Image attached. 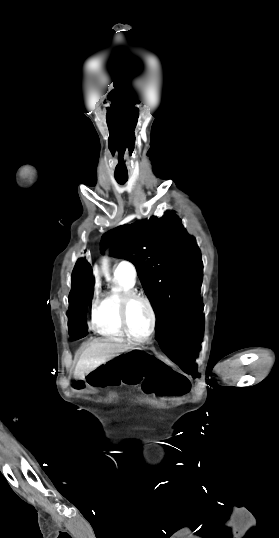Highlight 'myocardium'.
Returning <instances> with one entry per match:
<instances>
[{"label":"myocardium","instance_id":"obj_1","mask_svg":"<svg viewBox=\"0 0 279 538\" xmlns=\"http://www.w3.org/2000/svg\"><path fill=\"white\" fill-rule=\"evenodd\" d=\"M134 302H143L147 306L149 311H150L151 327H150L149 333L145 337H137V336L133 335L131 333L130 329H129V326H128L127 312H128V309H129L130 305L132 303H134ZM118 318H119V323H120L124 333L126 334V336L129 339H131L132 341L136 342V343H146L155 334V331H156V328H157L156 310H155L154 305L151 302V300L145 295L139 294V293L134 292V291H130V292L126 293L122 297V299L120 301V304H119Z\"/></svg>","mask_w":279,"mask_h":538}]
</instances>
